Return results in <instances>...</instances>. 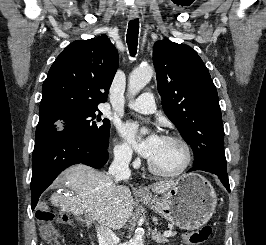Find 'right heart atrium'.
Listing matches in <instances>:
<instances>
[{"label":"right heart atrium","mask_w":266,"mask_h":245,"mask_svg":"<svg viewBox=\"0 0 266 245\" xmlns=\"http://www.w3.org/2000/svg\"><path fill=\"white\" fill-rule=\"evenodd\" d=\"M113 155L120 163L130 164L134 161L132 148L126 143H116L113 148Z\"/></svg>","instance_id":"d8ad5b80"}]
</instances>
